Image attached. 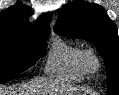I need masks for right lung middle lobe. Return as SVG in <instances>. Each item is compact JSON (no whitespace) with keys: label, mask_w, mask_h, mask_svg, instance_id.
I'll return each instance as SVG.
<instances>
[{"label":"right lung middle lobe","mask_w":119,"mask_h":95,"mask_svg":"<svg viewBox=\"0 0 119 95\" xmlns=\"http://www.w3.org/2000/svg\"><path fill=\"white\" fill-rule=\"evenodd\" d=\"M49 31L0 35V83H5L33 66L46 54Z\"/></svg>","instance_id":"dd1d6c3e"}]
</instances>
